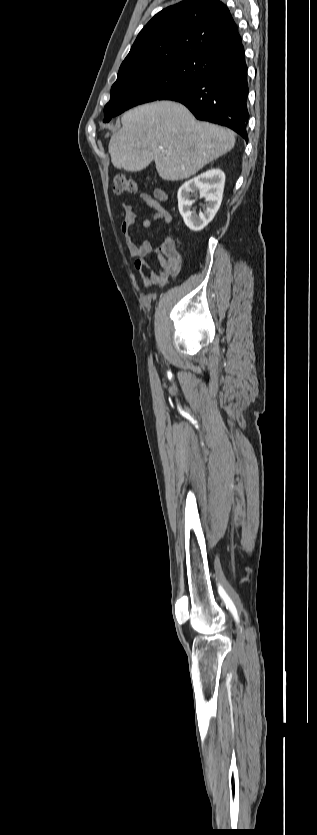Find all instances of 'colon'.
<instances>
[{
  "label": "colon",
  "mask_w": 317,
  "mask_h": 835,
  "mask_svg": "<svg viewBox=\"0 0 317 835\" xmlns=\"http://www.w3.org/2000/svg\"><path fill=\"white\" fill-rule=\"evenodd\" d=\"M138 190V185L134 179L128 177L123 174L116 175L113 181V191L116 194H124V193H136ZM162 250L171 256H175L177 254L174 243L172 240H167L163 246Z\"/></svg>",
  "instance_id": "5ec220e1"
}]
</instances>
